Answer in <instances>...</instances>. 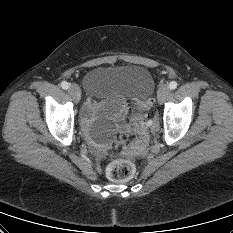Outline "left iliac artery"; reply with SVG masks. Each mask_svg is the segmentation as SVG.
Instances as JSON below:
<instances>
[{"label":"left iliac artery","instance_id":"left-iliac-artery-1","mask_svg":"<svg viewBox=\"0 0 233 233\" xmlns=\"http://www.w3.org/2000/svg\"><path fill=\"white\" fill-rule=\"evenodd\" d=\"M169 88H170L171 90L176 89V88H177V82H176V81H172V82H170V84H169Z\"/></svg>","mask_w":233,"mask_h":233}]
</instances>
